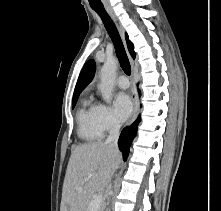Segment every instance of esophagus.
Segmentation results:
<instances>
[{
    "label": "esophagus",
    "instance_id": "34e87169",
    "mask_svg": "<svg viewBox=\"0 0 221 211\" xmlns=\"http://www.w3.org/2000/svg\"><path fill=\"white\" fill-rule=\"evenodd\" d=\"M107 11H108L109 15L111 16V18L113 19L120 35L124 38V29H123L118 17L115 15V13L112 9H107ZM130 61L133 63L131 57H130ZM132 105H133V111H132V115L127 123L128 126L131 125L134 122V120L136 119V116L138 114V109H139L138 96H137V93L135 90L133 91V95H132Z\"/></svg>",
    "mask_w": 221,
    "mask_h": 211
}]
</instances>
